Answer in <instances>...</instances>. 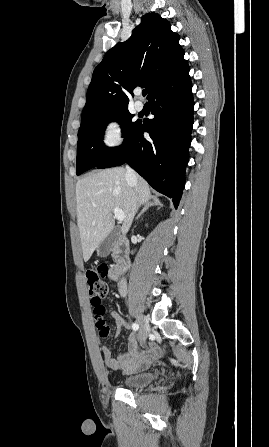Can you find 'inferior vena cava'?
<instances>
[{"label": "inferior vena cava", "mask_w": 269, "mask_h": 447, "mask_svg": "<svg viewBox=\"0 0 269 447\" xmlns=\"http://www.w3.org/2000/svg\"><path fill=\"white\" fill-rule=\"evenodd\" d=\"M126 180L127 182H135L136 188H134L135 192H139L138 188V178L136 172L132 170V168H129V166H126ZM140 204H137V208H139ZM118 289L121 293V295H125L127 293V281L125 277H122L121 281L118 283Z\"/></svg>", "instance_id": "602c4592"}]
</instances>
